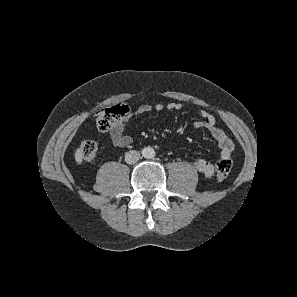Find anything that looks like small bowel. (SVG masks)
Listing matches in <instances>:
<instances>
[{
	"label": "small bowel",
	"instance_id": "small-bowel-1",
	"mask_svg": "<svg viewBox=\"0 0 297 297\" xmlns=\"http://www.w3.org/2000/svg\"><path fill=\"white\" fill-rule=\"evenodd\" d=\"M179 111L182 109V104L179 102H170L166 105L156 104L154 110L161 112L163 110ZM152 107L149 105H141L136 111L130 112L125 118L116 123L110 130L109 136L114 146L124 148L132 143V137L125 133L126 124L129 119L135 115H142L149 113ZM201 120L194 122L193 127L195 129L207 130L213 139L217 142L219 148V154L222 159L230 158L231 153L234 149L232 140L228 135L217 126L215 117L206 110L199 112ZM195 168L202 173L206 178H211L214 174V166L206 159L197 157L194 159Z\"/></svg>",
	"mask_w": 297,
	"mask_h": 297
}]
</instances>
